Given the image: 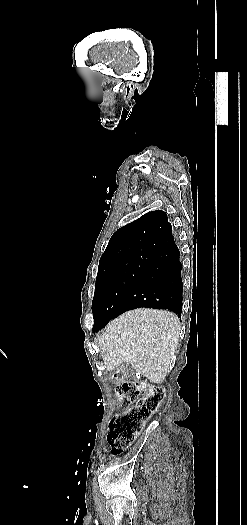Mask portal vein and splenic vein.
Instances as JSON below:
<instances>
[{
  "mask_svg": "<svg viewBox=\"0 0 247 525\" xmlns=\"http://www.w3.org/2000/svg\"><path fill=\"white\" fill-rule=\"evenodd\" d=\"M132 346H135V343H132Z\"/></svg>",
  "mask_w": 247,
  "mask_h": 525,
  "instance_id": "18ae733b",
  "label": "portal vein and splenic vein"
}]
</instances>
